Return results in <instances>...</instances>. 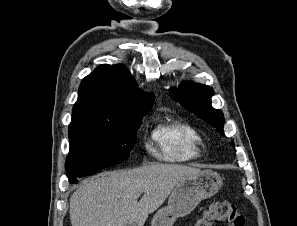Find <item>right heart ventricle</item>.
<instances>
[{
	"label": "right heart ventricle",
	"mask_w": 297,
	"mask_h": 226,
	"mask_svg": "<svg viewBox=\"0 0 297 226\" xmlns=\"http://www.w3.org/2000/svg\"><path fill=\"white\" fill-rule=\"evenodd\" d=\"M161 148L160 157L170 162H185L200 156V134L186 123L161 125L154 132Z\"/></svg>",
	"instance_id": "1"
}]
</instances>
